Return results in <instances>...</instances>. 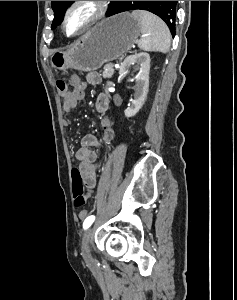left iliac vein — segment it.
I'll return each instance as SVG.
<instances>
[{"label":"left iliac vein","mask_w":237,"mask_h":300,"mask_svg":"<svg viewBox=\"0 0 237 300\" xmlns=\"http://www.w3.org/2000/svg\"><path fill=\"white\" fill-rule=\"evenodd\" d=\"M92 236H93V228H90L82 239V244L84 247V255L88 266H92V261H93L91 250H90V241Z\"/></svg>","instance_id":"1"}]
</instances>
